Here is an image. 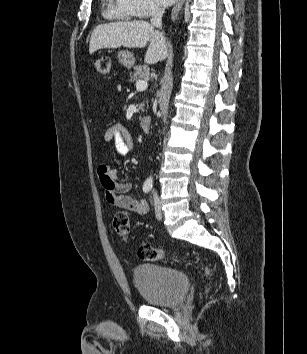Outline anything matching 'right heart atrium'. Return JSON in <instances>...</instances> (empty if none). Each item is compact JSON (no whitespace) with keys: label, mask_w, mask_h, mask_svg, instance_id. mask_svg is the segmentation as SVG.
<instances>
[{"label":"right heart atrium","mask_w":307,"mask_h":354,"mask_svg":"<svg viewBox=\"0 0 307 354\" xmlns=\"http://www.w3.org/2000/svg\"><path fill=\"white\" fill-rule=\"evenodd\" d=\"M129 2L139 17H147L161 9L158 0H129Z\"/></svg>","instance_id":"obj_1"}]
</instances>
